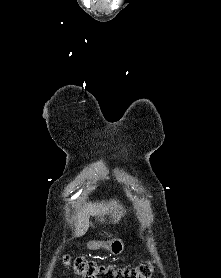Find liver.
Masks as SVG:
<instances>
[{"mask_svg": "<svg viewBox=\"0 0 221 278\" xmlns=\"http://www.w3.org/2000/svg\"><path fill=\"white\" fill-rule=\"evenodd\" d=\"M126 211L123 209L122 205L117 203V201L111 200L107 203H88L79 209L76 213V236L80 237L84 235L89 228V216L94 215L95 217H100V221H104V215H110L112 222L117 223Z\"/></svg>", "mask_w": 221, "mask_h": 278, "instance_id": "obj_1", "label": "liver"}]
</instances>
